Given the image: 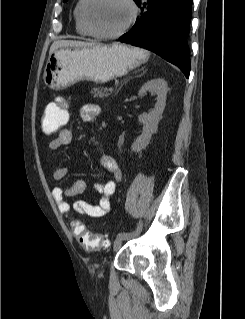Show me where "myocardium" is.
Listing matches in <instances>:
<instances>
[{"label":"myocardium","mask_w":245,"mask_h":319,"mask_svg":"<svg viewBox=\"0 0 245 319\" xmlns=\"http://www.w3.org/2000/svg\"><path fill=\"white\" fill-rule=\"evenodd\" d=\"M92 1L93 0H85L84 1V4L82 6V10H81V16H82L83 24L85 25L88 32L96 38L105 39V40L119 38L122 35H124L134 25V23L137 20L138 6H137L135 0H125V2L128 4V6L130 8V18L127 21V23L118 31H115L112 33L99 32L92 26V24L90 23L89 18H88V9H89V6H90Z\"/></svg>","instance_id":"f54148a6"}]
</instances>
